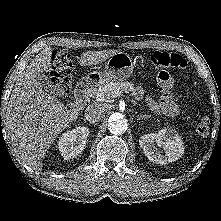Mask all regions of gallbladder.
Returning a JSON list of instances; mask_svg holds the SVG:
<instances>
[{"mask_svg":"<svg viewBox=\"0 0 221 221\" xmlns=\"http://www.w3.org/2000/svg\"><path fill=\"white\" fill-rule=\"evenodd\" d=\"M37 79L41 83V86L43 87L45 91L50 92V93L54 92L52 83L49 81V79L45 75L40 74Z\"/></svg>","mask_w":221,"mask_h":221,"instance_id":"1","label":"gallbladder"}]
</instances>
